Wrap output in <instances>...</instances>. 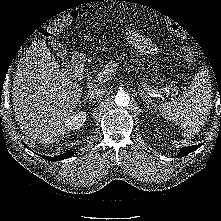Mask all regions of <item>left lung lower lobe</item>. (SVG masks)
Wrapping results in <instances>:
<instances>
[{
    "label": "left lung lower lobe",
    "instance_id": "0a47b994",
    "mask_svg": "<svg viewBox=\"0 0 221 221\" xmlns=\"http://www.w3.org/2000/svg\"><path fill=\"white\" fill-rule=\"evenodd\" d=\"M203 144H199V145H194V146H188V147H184L182 148L179 153L177 155H175L174 157H183L186 156L187 154H189L190 152H193L195 150H197L199 147H201Z\"/></svg>",
    "mask_w": 221,
    "mask_h": 221
}]
</instances>
